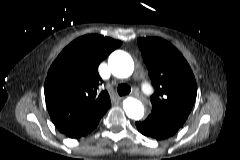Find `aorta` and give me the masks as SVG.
Returning <instances> with one entry per match:
<instances>
[{
    "label": "aorta",
    "instance_id": "aorta-1",
    "mask_svg": "<svg viewBox=\"0 0 240 160\" xmlns=\"http://www.w3.org/2000/svg\"><path fill=\"white\" fill-rule=\"evenodd\" d=\"M108 66L111 73L118 78H127L134 71V62L131 56L121 50L114 51L108 59ZM123 109L127 116L134 120H140L144 116V107L142 103L132 97L123 101Z\"/></svg>",
    "mask_w": 240,
    "mask_h": 160
}]
</instances>
